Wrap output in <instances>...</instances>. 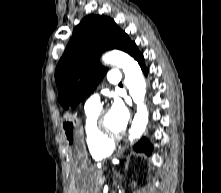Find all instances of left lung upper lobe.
Listing matches in <instances>:
<instances>
[{
	"label": "left lung upper lobe",
	"mask_w": 221,
	"mask_h": 193,
	"mask_svg": "<svg viewBox=\"0 0 221 193\" xmlns=\"http://www.w3.org/2000/svg\"><path fill=\"white\" fill-rule=\"evenodd\" d=\"M134 42L113 19L88 15L76 26L55 72L59 102L75 108L87 97L106 73L99 63L101 54L110 49L128 53Z\"/></svg>",
	"instance_id": "obj_1"
}]
</instances>
